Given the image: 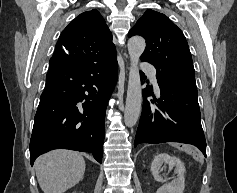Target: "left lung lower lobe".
Instances as JSON below:
<instances>
[{
  "label": "left lung lower lobe",
  "instance_id": "0a47b994",
  "mask_svg": "<svg viewBox=\"0 0 237 193\" xmlns=\"http://www.w3.org/2000/svg\"><path fill=\"white\" fill-rule=\"evenodd\" d=\"M161 96L157 100L151 86L142 90V114L134 146L139 143L180 142L198 147L206 156V140L201 126L196 83L181 82L156 74ZM145 79L141 72V80ZM147 96L154 100L148 101Z\"/></svg>",
  "mask_w": 237,
  "mask_h": 193
}]
</instances>
